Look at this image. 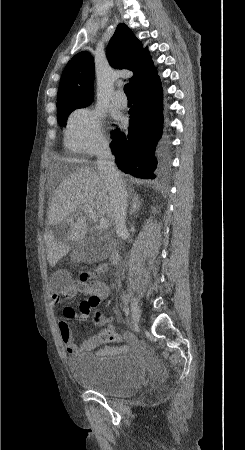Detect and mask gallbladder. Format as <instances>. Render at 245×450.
Masks as SVG:
<instances>
[{
  "label": "gallbladder",
  "mask_w": 245,
  "mask_h": 450,
  "mask_svg": "<svg viewBox=\"0 0 245 450\" xmlns=\"http://www.w3.org/2000/svg\"><path fill=\"white\" fill-rule=\"evenodd\" d=\"M83 255L86 260H101L107 256L106 253H103V249L99 244L89 243L83 248Z\"/></svg>",
  "instance_id": "1"
}]
</instances>
